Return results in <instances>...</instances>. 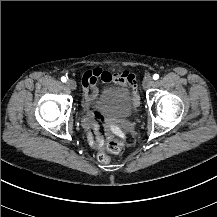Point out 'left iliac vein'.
<instances>
[{
	"label": "left iliac vein",
	"mask_w": 217,
	"mask_h": 217,
	"mask_svg": "<svg viewBox=\"0 0 217 217\" xmlns=\"http://www.w3.org/2000/svg\"><path fill=\"white\" fill-rule=\"evenodd\" d=\"M154 84V80L152 77L148 76L143 81L144 88H149Z\"/></svg>",
	"instance_id": "left-iliac-vein-1"
}]
</instances>
